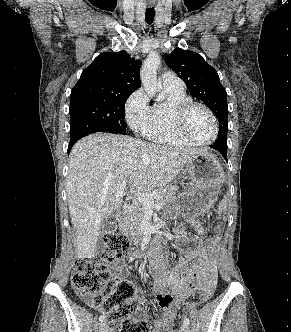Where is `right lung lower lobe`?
Instances as JSON below:
<instances>
[{
	"instance_id": "obj_1",
	"label": "right lung lower lobe",
	"mask_w": 291,
	"mask_h": 332,
	"mask_svg": "<svg viewBox=\"0 0 291 332\" xmlns=\"http://www.w3.org/2000/svg\"><path fill=\"white\" fill-rule=\"evenodd\" d=\"M100 128L97 122L93 119L83 118L75 123H71L70 125V134L71 140L68 146V153L74 143L81 138L90 133L99 132Z\"/></svg>"
}]
</instances>
